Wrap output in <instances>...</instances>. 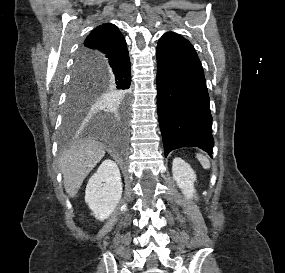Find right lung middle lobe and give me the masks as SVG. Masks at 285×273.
<instances>
[{
  "instance_id": "right-lung-middle-lobe-1",
  "label": "right lung middle lobe",
  "mask_w": 285,
  "mask_h": 273,
  "mask_svg": "<svg viewBox=\"0 0 285 273\" xmlns=\"http://www.w3.org/2000/svg\"><path fill=\"white\" fill-rule=\"evenodd\" d=\"M91 72H81L75 66L67 94L63 126L70 130L77 126L89 109L102 96H115L119 100L125 99L124 91H116L112 87L103 90L101 77Z\"/></svg>"
}]
</instances>
